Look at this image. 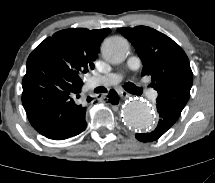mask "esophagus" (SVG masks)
<instances>
[{"label": "esophagus", "mask_w": 215, "mask_h": 183, "mask_svg": "<svg viewBox=\"0 0 215 183\" xmlns=\"http://www.w3.org/2000/svg\"><path fill=\"white\" fill-rule=\"evenodd\" d=\"M122 97L127 98V97H129V94L127 92H123Z\"/></svg>", "instance_id": "obj_1"}]
</instances>
